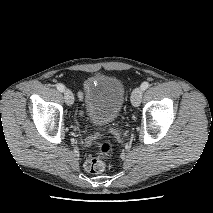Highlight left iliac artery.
<instances>
[{
  "label": "left iliac artery",
  "instance_id": "left-iliac-artery-1",
  "mask_svg": "<svg viewBox=\"0 0 213 213\" xmlns=\"http://www.w3.org/2000/svg\"><path fill=\"white\" fill-rule=\"evenodd\" d=\"M148 87H149V83H148V82H143V83L141 84V89H142V90H146Z\"/></svg>",
  "mask_w": 213,
  "mask_h": 213
}]
</instances>
